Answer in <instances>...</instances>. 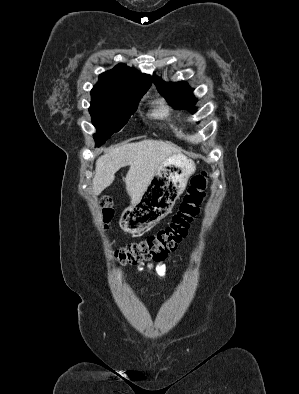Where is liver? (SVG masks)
Segmentation results:
<instances>
[{
    "label": "liver",
    "instance_id": "6515ba94",
    "mask_svg": "<svg viewBox=\"0 0 299 394\" xmlns=\"http://www.w3.org/2000/svg\"><path fill=\"white\" fill-rule=\"evenodd\" d=\"M179 153L175 146L160 140L145 139L116 147L96 161L92 182L95 194L101 193L112 184L115 173L130 166L124 183L131 203L140 201L159 165L170 155Z\"/></svg>",
    "mask_w": 299,
    "mask_h": 394
}]
</instances>
